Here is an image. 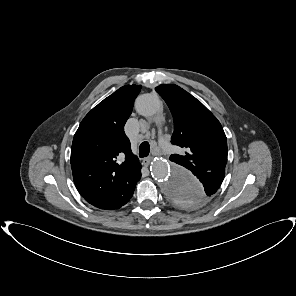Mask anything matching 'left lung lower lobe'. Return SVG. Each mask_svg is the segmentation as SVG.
I'll return each instance as SVG.
<instances>
[{
	"label": "left lung lower lobe",
	"instance_id": "1",
	"mask_svg": "<svg viewBox=\"0 0 296 296\" xmlns=\"http://www.w3.org/2000/svg\"><path fill=\"white\" fill-rule=\"evenodd\" d=\"M224 175H225V174H224ZM224 175L221 176V177L218 179V183L213 182L214 185H212V187H211V191H212V192L216 193L217 189L219 188V186L221 185V183H222V181H223V179H224Z\"/></svg>",
	"mask_w": 296,
	"mask_h": 296
}]
</instances>
